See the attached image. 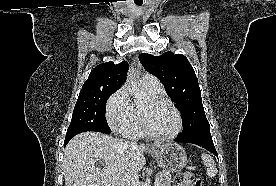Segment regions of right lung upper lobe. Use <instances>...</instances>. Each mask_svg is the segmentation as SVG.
<instances>
[{
  "label": "right lung upper lobe",
  "mask_w": 276,
  "mask_h": 186,
  "mask_svg": "<svg viewBox=\"0 0 276 186\" xmlns=\"http://www.w3.org/2000/svg\"><path fill=\"white\" fill-rule=\"evenodd\" d=\"M128 67L126 61L119 64L107 62L96 66L89 74L81 91L118 90L126 78Z\"/></svg>",
  "instance_id": "cb5924a9"
}]
</instances>
